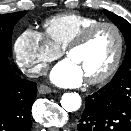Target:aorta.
Listing matches in <instances>:
<instances>
[{"instance_id":"762f6f07","label":"aorta","mask_w":131,"mask_h":131,"mask_svg":"<svg viewBox=\"0 0 131 131\" xmlns=\"http://www.w3.org/2000/svg\"><path fill=\"white\" fill-rule=\"evenodd\" d=\"M60 103L68 112L77 111L81 107V97L78 93H64L61 97Z\"/></svg>"}]
</instances>
